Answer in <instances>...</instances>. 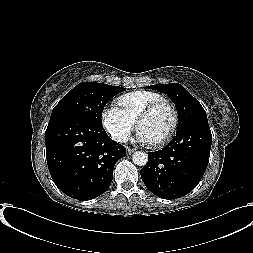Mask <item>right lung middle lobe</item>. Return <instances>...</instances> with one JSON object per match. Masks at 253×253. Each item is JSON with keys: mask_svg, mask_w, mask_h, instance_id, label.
Instances as JSON below:
<instances>
[{"mask_svg": "<svg viewBox=\"0 0 253 253\" xmlns=\"http://www.w3.org/2000/svg\"><path fill=\"white\" fill-rule=\"evenodd\" d=\"M123 91L125 88L104 83H80L55 106L50 121L75 117L102 125L101 117L105 105L112 97Z\"/></svg>", "mask_w": 253, "mask_h": 253, "instance_id": "dd1d6c3e", "label": "right lung middle lobe"}]
</instances>
